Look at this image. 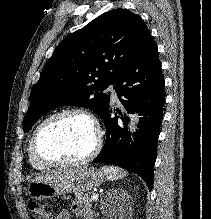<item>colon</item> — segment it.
Returning <instances> with one entry per match:
<instances>
[{
	"mask_svg": "<svg viewBox=\"0 0 211 219\" xmlns=\"http://www.w3.org/2000/svg\"><path fill=\"white\" fill-rule=\"evenodd\" d=\"M28 209L31 219H53V210L49 205L31 202Z\"/></svg>",
	"mask_w": 211,
	"mask_h": 219,
	"instance_id": "1",
	"label": "colon"
}]
</instances>
